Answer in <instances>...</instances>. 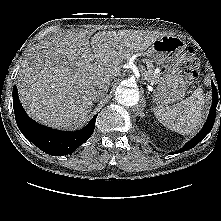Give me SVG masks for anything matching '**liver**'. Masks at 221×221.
Here are the masks:
<instances>
[{
	"label": "liver",
	"instance_id": "1",
	"mask_svg": "<svg viewBox=\"0 0 221 221\" xmlns=\"http://www.w3.org/2000/svg\"><path fill=\"white\" fill-rule=\"evenodd\" d=\"M86 30L57 33L35 47L18 73V93L27 114L53 127L81 126L93 106V93L121 75L122 64L159 38L140 30Z\"/></svg>",
	"mask_w": 221,
	"mask_h": 221
}]
</instances>
